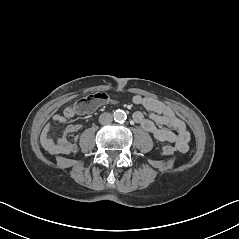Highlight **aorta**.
Listing matches in <instances>:
<instances>
[{
	"label": "aorta",
	"instance_id": "762f6f07",
	"mask_svg": "<svg viewBox=\"0 0 239 239\" xmlns=\"http://www.w3.org/2000/svg\"><path fill=\"white\" fill-rule=\"evenodd\" d=\"M113 116H114V120L119 123L125 121L127 118V115L123 110H116Z\"/></svg>",
	"mask_w": 239,
	"mask_h": 239
}]
</instances>
